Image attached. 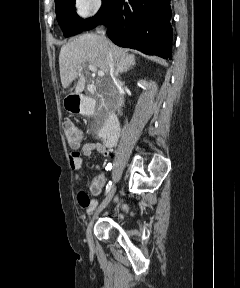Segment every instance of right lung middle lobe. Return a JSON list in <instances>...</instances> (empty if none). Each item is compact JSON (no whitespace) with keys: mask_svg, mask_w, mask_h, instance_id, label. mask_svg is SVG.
<instances>
[{"mask_svg":"<svg viewBox=\"0 0 240 288\" xmlns=\"http://www.w3.org/2000/svg\"><path fill=\"white\" fill-rule=\"evenodd\" d=\"M107 1H102V7L97 15L82 20L75 12V0H55L56 18L64 32V36L69 37L84 31L99 16Z\"/></svg>","mask_w":240,"mask_h":288,"instance_id":"obj_1","label":"right lung middle lobe"}]
</instances>
